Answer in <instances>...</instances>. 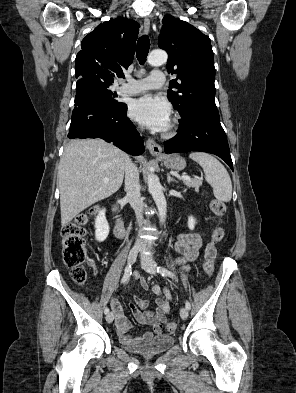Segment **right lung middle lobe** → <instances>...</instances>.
<instances>
[{"label":"right lung middle lobe","instance_id":"right-lung-middle-lobe-1","mask_svg":"<svg viewBox=\"0 0 296 393\" xmlns=\"http://www.w3.org/2000/svg\"><path fill=\"white\" fill-rule=\"evenodd\" d=\"M83 80L89 83L111 106L119 107L123 104L116 99V93L108 89L109 86L112 84L111 82H106L90 76L85 77Z\"/></svg>","mask_w":296,"mask_h":393}]
</instances>
